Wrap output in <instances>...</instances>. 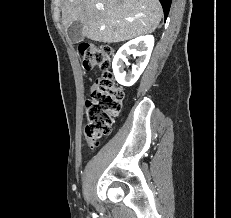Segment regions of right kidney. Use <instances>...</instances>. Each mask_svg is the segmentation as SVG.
I'll list each match as a JSON object with an SVG mask.
<instances>
[{
    "instance_id": "1",
    "label": "right kidney",
    "mask_w": 231,
    "mask_h": 218,
    "mask_svg": "<svg viewBox=\"0 0 231 218\" xmlns=\"http://www.w3.org/2000/svg\"><path fill=\"white\" fill-rule=\"evenodd\" d=\"M153 46L154 37L146 35L137 37L119 48L112 62L114 76L119 84L132 86L138 80L149 62ZM131 54L138 59L136 64L132 65V71L126 73L125 64L129 65L127 57Z\"/></svg>"
}]
</instances>
